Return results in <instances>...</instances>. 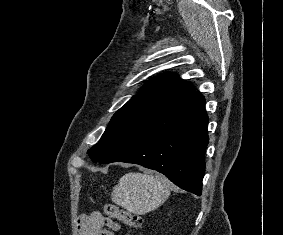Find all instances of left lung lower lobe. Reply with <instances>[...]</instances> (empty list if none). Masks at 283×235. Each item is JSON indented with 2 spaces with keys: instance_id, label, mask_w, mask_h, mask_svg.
Returning a JSON list of instances; mask_svg holds the SVG:
<instances>
[{
  "instance_id": "1",
  "label": "left lung lower lobe",
  "mask_w": 283,
  "mask_h": 235,
  "mask_svg": "<svg viewBox=\"0 0 283 235\" xmlns=\"http://www.w3.org/2000/svg\"><path fill=\"white\" fill-rule=\"evenodd\" d=\"M207 125L205 99L195 91L143 126L103 163L139 164L166 175L180 188L201 195Z\"/></svg>"
}]
</instances>
